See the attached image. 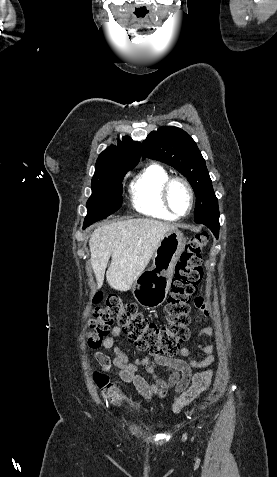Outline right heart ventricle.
Masks as SVG:
<instances>
[{
	"label": "right heart ventricle",
	"mask_w": 277,
	"mask_h": 477,
	"mask_svg": "<svg viewBox=\"0 0 277 477\" xmlns=\"http://www.w3.org/2000/svg\"><path fill=\"white\" fill-rule=\"evenodd\" d=\"M169 177V173L158 164H150L143 168L130 184L133 207L153 218L176 220L177 217L166 209L161 196L162 186Z\"/></svg>",
	"instance_id": "obj_1"
}]
</instances>
